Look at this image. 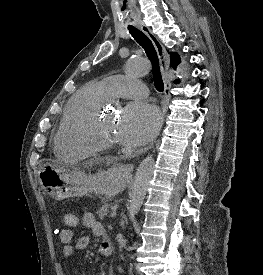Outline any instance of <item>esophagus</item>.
<instances>
[{"instance_id": "34e87169", "label": "esophagus", "mask_w": 263, "mask_h": 275, "mask_svg": "<svg viewBox=\"0 0 263 275\" xmlns=\"http://www.w3.org/2000/svg\"><path fill=\"white\" fill-rule=\"evenodd\" d=\"M138 28L150 38V40L152 41L156 49V52L159 58L161 72H162L163 81H164V99L162 102V122H163L167 111V105L169 101L170 88H171V79L169 76V57L165 47L162 45L159 39L152 33V31L145 24L138 25ZM154 144H155V140L152 141V143L149 144L146 148H144V150L145 151L149 150L150 148L153 147ZM122 168L126 172L130 173L133 171L134 166L132 164H126Z\"/></svg>"}]
</instances>
